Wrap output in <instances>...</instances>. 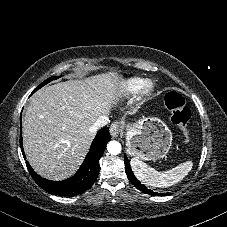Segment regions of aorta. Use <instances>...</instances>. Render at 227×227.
<instances>
[{
  "label": "aorta",
  "instance_id": "aorta-1",
  "mask_svg": "<svg viewBox=\"0 0 227 227\" xmlns=\"http://www.w3.org/2000/svg\"><path fill=\"white\" fill-rule=\"evenodd\" d=\"M121 144L118 141H110L107 144V150L112 155H117L121 152Z\"/></svg>",
  "mask_w": 227,
  "mask_h": 227
}]
</instances>
